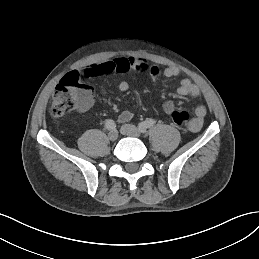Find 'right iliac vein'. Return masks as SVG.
I'll use <instances>...</instances> for the list:
<instances>
[{
  "mask_svg": "<svg viewBox=\"0 0 259 259\" xmlns=\"http://www.w3.org/2000/svg\"><path fill=\"white\" fill-rule=\"evenodd\" d=\"M108 138L111 141H115L118 138V132L116 130H112L108 133Z\"/></svg>",
  "mask_w": 259,
  "mask_h": 259,
  "instance_id": "right-iliac-vein-1",
  "label": "right iliac vein"
}]
</instances>
